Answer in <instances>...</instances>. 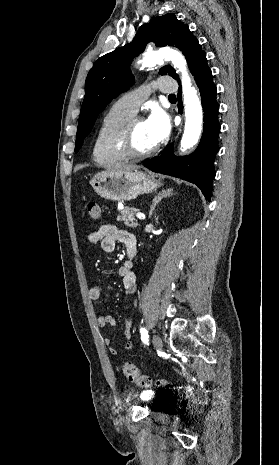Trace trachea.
<instances>
[{
    "label": "trachea",
    "mask_w": 279,
    "mask_h": 465,
    "mask_svg": "<svg viewBox=\"0 0 279 465\" xmlns=\"http://www.w3.org/2000/svg\"><path fill=\"white\" fill-rule=\"evenodd\" d=\"M176 96L174 94L169 95V99H174Z\"/></svg>",
    "instance_id": "3493384b"
}]
</instances>
